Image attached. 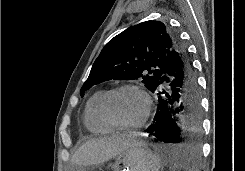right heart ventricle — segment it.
<instances>
[{"label": "right heart ventricle", "mask_w": 245, "mask_h": 171, "mask_svg": "<svg viewBox=\"0 0 245 171\" xmlns=\"http://www.w3.org/2000/svg\"><path fill=\"white\" fill-rule=\"evenodd\" d=\"M104 90H99L94 93L87 101L83 122L85 127L94 134H107L114 130L101 116L99 105L102 96L104 95Z\"/></svg>", "instance_id": "1"}]
</instances>
